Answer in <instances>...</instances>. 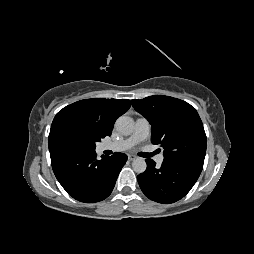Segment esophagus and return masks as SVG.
Returning a JSON list of instances; mask_svg holds the SVG:
<instances>
[{
  "instance_id": "obj_1",
  "label": "esophagus",
  "mask_w": 254,
  "mask_h": 254,
  "mask_svg": "<svg viewBox=\"0 0 254 254\" xmlns=\"http://www.w3.org/2000/svg\"><path fill=\"white\" fill-rule=\"evenodd\" d=\"M137 157L135 156V155H133V154H129L128 155V160L129 161H133V160H135Z\"/></svg>"
}]
</instances>
